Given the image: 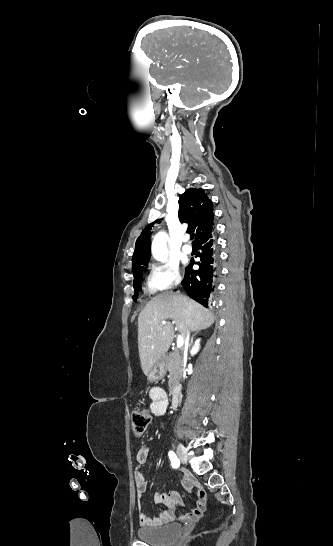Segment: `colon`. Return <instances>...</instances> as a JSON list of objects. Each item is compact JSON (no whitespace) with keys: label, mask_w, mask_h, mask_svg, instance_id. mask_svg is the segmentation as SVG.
<instances>
[{"label":"colon","mask_w":333,"mask_h":546,"mask_svg":"<svg viewBox=\"0 0 333 546\" xmlns=\"http://www.w3.org/2000/svg\"><path fill=\"white\" fill-rule=\"evenodd\" d=\"M152 420V413L145 408H136L132 413V430L135 436L141 437Z\"/></svg>","instance_id":"5ec220e1"}]
</instances>
